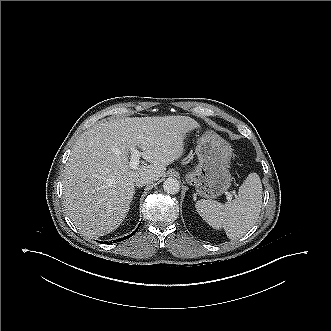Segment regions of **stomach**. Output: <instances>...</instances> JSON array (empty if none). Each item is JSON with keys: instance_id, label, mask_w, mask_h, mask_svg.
<instances>
[{"instance_id": "stomach-1", "label": "stomach", "mask_w": 331, "mask_h": 331, "mask_svg": "<svg viewBox=\"0 0 331 331\" xmlns=\"http://www.w3.org/2000/svg\"><path fill=\"white\" fill-rule=\"evenodd\" d=\"M196 154L198 165L186 174L189 184L195 186L196 193L213 199L222 195L231 185L228 169L232 149L229 144L213 132H205L198 140Z\"/></svg>"}]
</instances>
